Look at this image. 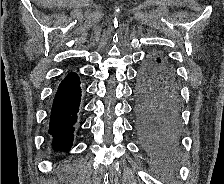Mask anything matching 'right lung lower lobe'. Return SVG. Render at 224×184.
<instances>
[{"mask_svg":"<svg viewBox=\"0 0 224 184\" xmlns=\"http://www.w3.org/2000/svg\"><path fill=\"white\" fill-rule=\"evenodd\" d=\"M80 100V80L76 73L71 72L59 84L51 109L48 133L53 138L55 151L68 152L72 146L73 125L77 122Z\"/></svg>","mask_w":224,"mask_h":184,"instance_id":"obj_1","label":"right lung lower lobe"}]
</instances>
